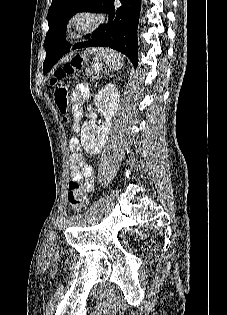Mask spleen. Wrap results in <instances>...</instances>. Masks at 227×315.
<instances>
[{"instance_id":"1","label":"spleen","mask_w":227,"mask_h":315,"mask_svg":"<svg viewBox=\"0 0 227 315\" xmlns=\"http://www.w3.org/2000/svg\"><path fill=\"white\" fill-rule=\"evenodd\" d=\"M97 54L105 59V63L108 65L109 68L117 70L122 66V57L111 50H100Z\"/></svg>"}]
</instances>
